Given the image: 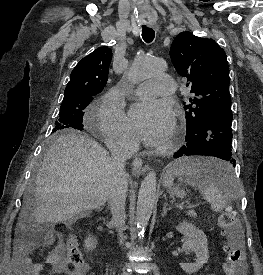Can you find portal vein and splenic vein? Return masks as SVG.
I'll list each match as a JSON object with an SVG mask.
<instances>
[{"label":"portal vein and splenic vein","mask_w":263,"mask_h":275,"mask_svg":"<svg viewBox=\"0 0 263 275\" xmlns=\"http://www.w3.org/2000/svg\"><path fill=\"white\" fill-rule=\"evenodd\" d=\"M187 208H191L192 207V205H188V206H186Z\"/></svg>","instance_id":"1"}]
</instances>
